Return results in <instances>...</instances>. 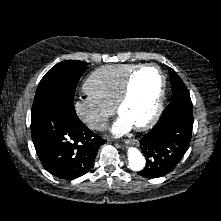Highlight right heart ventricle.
I'll return each mask as SVG.
<instances>
[{
    "label": "right heart ventricle",
    "instance_id": "obj_1",
    "mask_svg": "<svg viewBox=\"0 0 221 221\" xmlns=\"http://www.w3.org/2000/svg\"><path fill=\"white\" fill-rule=\"evenodd\" d=\"M139 64H114L100 67L86 79L83 89L86 95L102 104L115 106L128 75Z\"/></svg>",
    "mask_w": 221,
    "mask_h": 221
}]
</instances>
